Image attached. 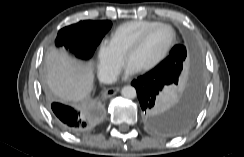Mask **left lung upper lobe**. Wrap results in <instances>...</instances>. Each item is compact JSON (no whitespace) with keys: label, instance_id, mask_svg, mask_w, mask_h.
<instances>
[{"label":"left lung upper lobe","instance_id":"obj_1","mask_svg":"<svg viewBox=\"0 0 244 157\" xmlns=\"http://www.w3.org/2000/svg\"><path fill=\"white\" fill-rule=\"evenodd\" d=\"M189 62L190 59L187 55L186 48L182 45H176L170 51L169 56L153 70L161 72L167 77L178 81Z\"/></svg>","mask_w":244,"mask_h":157}]
</instances>
